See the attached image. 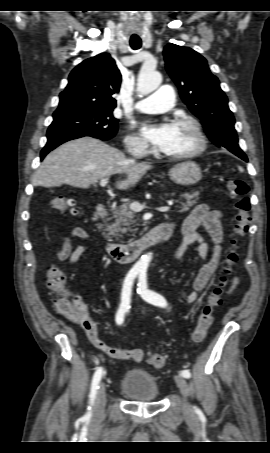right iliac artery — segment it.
I'll use <instances>...</instances> for the list:
<instances>
[{
  "mask_svg": "<svg viewBox=\"0 0 270 453\" xmlns=\"http://www.w3.org/2000/svg\"><path fill=\"white\" fill-rule=\"evenodd\" d=\"M137 274H138L137 272H129L125 278L121 293V304L116 313V323L118 325H121L123 323L125 313H127L130 309L131 291L134 279L136 278ZM102 373H103L102 367L97 368L96 372L94 373L91 384V392L89 395L91 406L94 404L98 385L102 377ZM91 406H89V410H91L92 408Z\"/></svg>",
  "mask_w": 270,
  "mask_h": 453,
  "instance_id": "right-iliac-artery-1",
  "label": "right iliac artery"
}]
</instances>
